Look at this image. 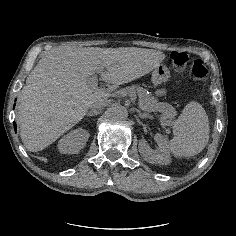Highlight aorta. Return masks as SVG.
Masks as SVG:
<instances>
[{
	"instance_id": "obj_1",
	"label": "aorta",
	"mask_w": 236,
	"mask_h": 236,
	"mask_svg": "<svg viewBox=\"0 0 236 236\" xmlns=\"http://www.w3.org/2000/svg\"><path fill=\"white\" fill-rule=\"evenodd\" d=\"M112 117L117 120H124L128 117V110L122 105H114L111 109Z\"/></svg>"
}]
</instances>
